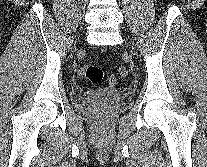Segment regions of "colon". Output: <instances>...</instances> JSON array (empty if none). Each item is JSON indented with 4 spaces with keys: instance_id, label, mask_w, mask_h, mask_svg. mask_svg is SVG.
<instances>
[{
    "instance_id": "1",
    "label": "colon",
    "mask_w": 207,
    "mask_h": 167,
    "mask_svg": "<svg viewBox=\"0 0 207 167\" xmlns=\"http://www.w3.org/2000/svg\"><path fill=\"white\" fill-rule=\"evenodd\" d=\"M128 70L125 67H121L118 69L116 75H112L108 79V85L113 87L116 85L118 78H125L128 76ZM80 78L87 79L92 83H98L103 78V71L100 67L95 65H87L81 68L78 72Z\"/></svg>"
}]
</instances>
